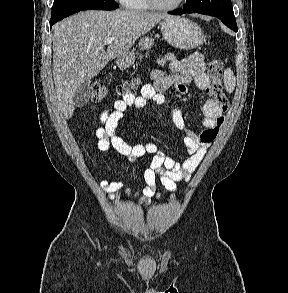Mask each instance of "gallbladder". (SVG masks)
<instances>
[{
    "mask_svg": "<svg viewBox=\"0 0 288 293\" xmlns=\"http://www.w3.org/2000/svg\"><path fill=\"white\" fill-rule=\"evenodd\" d=\"M90 91H91V86H90V81H85L83 82L76 90L75 95H74V105L76 107H83L87 104L90 98Z\"/></svg>",
    "mask_w": 288,
    "mask_h": 293,
    "instance_id": "obj_1",
    "label": "gallbladder"
}]
</instances>
